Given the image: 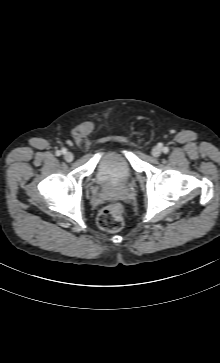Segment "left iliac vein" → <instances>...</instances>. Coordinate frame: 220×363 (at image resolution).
Wrapping results in <instances>:
<instances>
[{
    "instance_id": "obj_1",
    "label": "left iliac vein",
    "mask_w": 220,
    "mask_h": 363,
    "mask_svg": "<svg viewBox=\"0 0 220 363\" xmlns=\"http://www.w3.org/2000/svg\"><path fill=\"white\" fill-rule=\"evenodd\" d=\"M151 153L154 157H159L162 153V149L159 146H155V147H153Z\"/></svg>"
}]
</instances>
